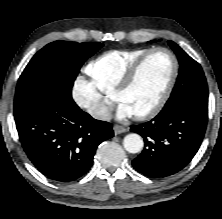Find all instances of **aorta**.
Here are the masks:
<instances>
[{
	"label": "aorta",
	"mask_w": 222,
	"mask_h": 219,
	"mask_svg": "<svg viewBox=\"0 0 222 219\" xmlns=\"http://www.w3.org/2000/svg\"><path fill=\"white\" fill-rule=\"evenodd\" d=\"M123 146L129 153H138L144 146L143 139L136 133H131L125 136Z\"/></svg>",
	"instance_id": "762f6f07"
}]
</instances>
